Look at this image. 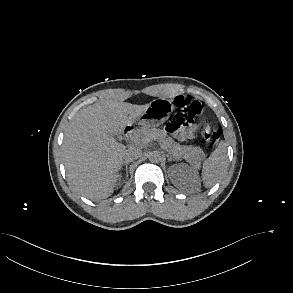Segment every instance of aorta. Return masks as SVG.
Returning <instances> with one entry per match:
<instances>
[{
	"instance_id": "obj_1",
	"label": "aorta",
	"mask_w": 293,
	"mask_h": 293,
	"mask_svg": "<svg viewBox=\"0 0 293 293\" xmlns=\"http://www.w3.org/2000/svg\"><path fill=\"white\" fill-rule=\"evenodd\" d=\"M148 159L153 163H158L162 160V156L158 151H152L148 155Z\"/></svg>"
}]
</instances>
